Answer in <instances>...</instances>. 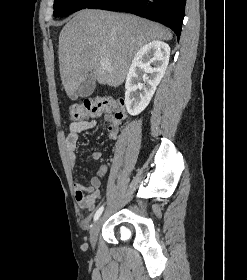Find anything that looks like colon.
<instances>
[{
  "instance_id": "obj_1",
  "label": "colon",
  "mask_w": 247,
  "mask_h": 280,
  "mask_svg": "<svg viewBox=\"0 0 247 280\" xmlns=\"http://www.w3.org/2000/svg\"><path fill=\"white\" fill-rule=\"evenodd\" d=\"M112 115L118 119L124 117L122 104L113 99L99 97L85 99L82 103L73 104L69 108V117L73 121H83L88 117Z\"/></svg>"
}]
</instances>
